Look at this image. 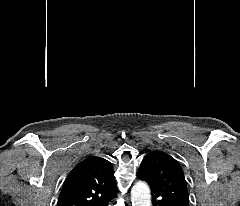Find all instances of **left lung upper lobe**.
Returning <instances> with one entry per match:
<instances>
[{
	"label": "left lung upper lobe",
	"mask_w": 240,
	"mask_h": 206,
	"mask_svg": "<svg viewBox=\"0 0 240 206\" xmlns=\"http://www.w3.org/2000/svg\"><path fill=\"white\" fill-rule=\"evenodd\" d=\"M150 187L167 199L171 206H189L186 180L179 163L160 151L147 154L139 168Z\"/></svg>",
	"instance_id": "obj_1"
}]
</instances>
